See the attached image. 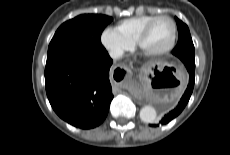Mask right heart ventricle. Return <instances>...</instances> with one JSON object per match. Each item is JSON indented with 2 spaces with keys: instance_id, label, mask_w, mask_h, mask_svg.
Returning <instances> with one entry per match:
<instances>
[{
  "instance_id": "right-heart-ventricle-1",
  "label": "right heart ventricle",
  "mask_w": 230,
  "mask_h": 155,
  "mask_svg": "<svg viewBox=\"0 0 230 155\" xmlns=\"http://www.w3.org/2000/svg\"><path fill=\"white\" fill-rule=\"evenodd\" d=\"M155 15H138L126 18L118 22L115 30L132 44L136 42L142 28L153 19Z\"/></svg>"
}]
</instances>
